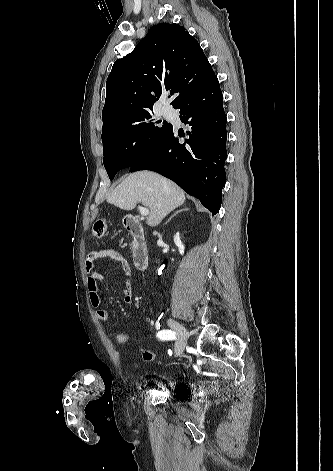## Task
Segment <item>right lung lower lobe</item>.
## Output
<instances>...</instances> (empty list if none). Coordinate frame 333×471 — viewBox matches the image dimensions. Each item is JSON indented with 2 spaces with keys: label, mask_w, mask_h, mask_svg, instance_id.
I'll use <instances>...</instances> for the list:
<instances>
[{
  "label": "right lung lower lobe",
  "mask_w": 333,
  "mask_h": 471,
  "mask_svg": "<svg viewBox=\"0 0 333 471\" xmlns=\"http://www.w3.org/2000/svg\"><path fill=\"white\" fill-rule=\"evenodd\" d=\"M180 119L190 126L189 138L180 143L179 131L167 135L130 172L152 170L173 180L188 194L216 214L226 182V115L217 76L213 72L199 82L176 107Z\"/></svg>",
  "instance_id": "1"
}]
</instances>
